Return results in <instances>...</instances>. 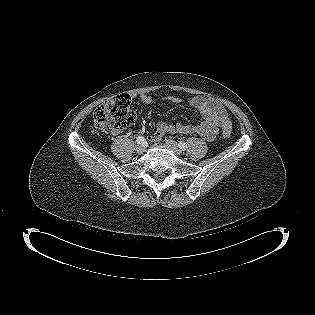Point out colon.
I'll list each match as a JSON object with an SVG mask.
<instances>
[{"label":"colon","instance_id":"colon-1","mask_svg":"<svg viewBox=\"0 0 315 315\" xmlns=\"http://www.w3.org/2000/svg\"><path fill=\"white\" fill-rule=\"evenodd\" d=\"M129 95L120 94L102 103L93 114L95 130H122L128 127L135 119V113L130 108ZM229 127L223 128V135L229 137Z\"/></svg>","mask_w":315,"mask_h":315}]
</instances>
